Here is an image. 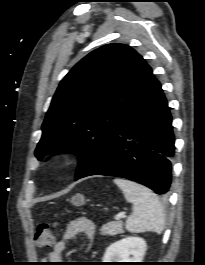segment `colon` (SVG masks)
Instances as JSON below:
<instances>
[{"instance_id": "colon-1", "label": "colon", "mask_w": 205, "mask_h": 265, "mask_svg": "<svg viewBox=\"0 0 205 265\" xmlns=\"http://www.w3.org/2000/svg\"><path fill=\"white\" fill-rule=\"evenodd\" d=\"M82 200L81 195L74 196V203L79 204ZM34 241L38 247H51L55 241V233L52 225L40 224L34 236Z\"/></svg>"}]
</instances>
